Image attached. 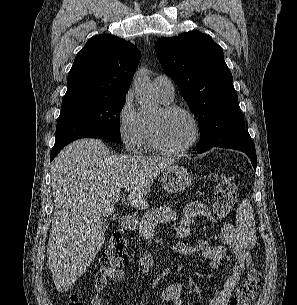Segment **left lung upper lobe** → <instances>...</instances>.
<instances>
[{
    "label": "left lung upper lobe",
    "instance_id": "1",
    "mask_svg": "<svg viewBox=\"0 0 297 305\" xmlns=\"http://www.w3.org/2000/svg\"><path fill=\"white\" fill-rule=\"evenodd\" d=\"M164 72L171 77L189 108L198 118L201 138L216 144L238 129L245 128L222 48L198 31L162 38L155 44Z\"/></svg>",
    "mask_w": 297,
    "mask_h": 305
}]
</instances>
